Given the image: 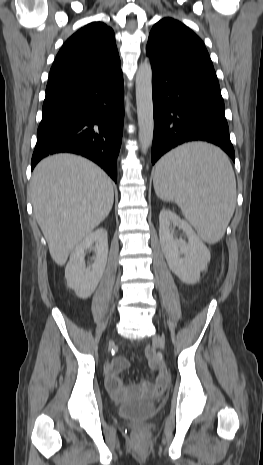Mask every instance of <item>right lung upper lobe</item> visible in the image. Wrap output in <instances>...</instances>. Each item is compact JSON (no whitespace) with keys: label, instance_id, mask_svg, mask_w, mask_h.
Here are the masks:
<instances>
[{"label":"right lung upper lobe","instance_id":"obj_1","mask_svg":"<svg viewBox=\"0 0 263 465\" xmlns=\"http://www.w3.org/2000/svg\"><path fill=\"white\" fill-rule=\"evenodd\" d=\"M120 72L113 30L102 22H93L63 44L51 67L46 92L108 79Z\"/></svg>","mask_w":263,"mask_h":465}]
</instances>
